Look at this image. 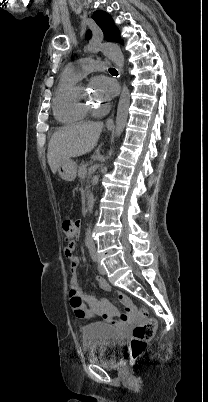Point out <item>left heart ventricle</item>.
I'll list each match as a JSON object with an SVG mask.
<instances>
[{
  "label": "left heart ventricle",
  "instance_id": "b2bd125f",
  "mask_svg": "<svg viewBox=\"0 0 208 402\" xmlns=\"http://www.w3.org/2000/svg\"><path fill=\"white\" fill-rule=\"evenodd\" d=\"M85 96H86V95H85ZM100 97H101V94H100L99 96H97V97L93 98V99L88 98V97L86 96V97H85V100H86V101H89V100H95V101H99V100H101V99H100Z\"/></svg>",
  "mask_w": 208,
  "mask_h": 402
}]
</instances>
